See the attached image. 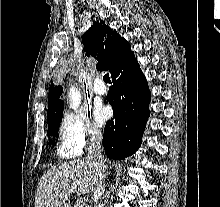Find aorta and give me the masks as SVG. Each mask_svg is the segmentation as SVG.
<instances>
[{
  "mask_svg": "<svg viewBox=\"0 0 220 207\" xmlns=\"http://www.w3.org/2000/svg\"><path fill=\"white\" fill-rule=\"evenodd\" d=\"M69 103H70V108L74 111H77V109L80 106L81 103V92L78 89V87H76L75 85L71 86L69 89Z\"/></svg>",
  "mask_w": 220,
  "mask_h": 207,
  "instance_id": "1",
  "label": "aorta"
}]
</instances>
